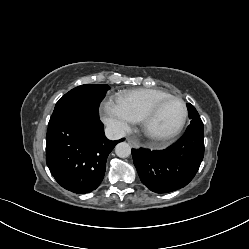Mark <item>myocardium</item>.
Masks as SVG:
<instances>
[{"label": "myocardium", "instance_id": "obj_1", "mask_svg": "<svg viewBox=\"0 0 249 249\" xmlns=\"http://www.w3.org/2000/svg\"><path fill=\"white\" fill-rule=\"evenodd\" d=\"M171 100H177L179 101L182 106H183V115L181 117V120L179 122V124L177 125V127L171 131L170 133H167L165 135H161V136H155L150 132V123L152 122V120L155 118L156 114L160 111V109L169 101ZM188 117V108H187V104L186 102L178 97V96H168L164 99H161L160 101L156 102L155 104H153L141 117V124H142V128L143 131L145 133V135L152 141L157 142V143H166L169 140L173 139L174 137H176L181 130L183 129L185 122L187 120Z\"/></svg>", "mask_w": 249, "mask_h": 249}]
</instances>
